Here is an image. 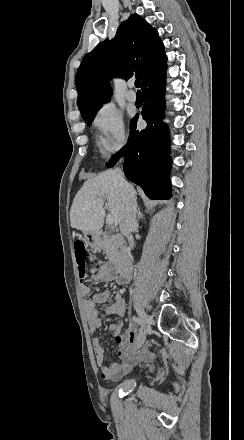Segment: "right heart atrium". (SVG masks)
<instances>
[{"instance_id": "right-heart-atrium-1", "label": "right heart atrium", "mask_w": 244, "mask_h": 440, "mask_svg": "<svg viewBox=\"0 0 244 440\" xmlns=\"http://www.w3.org/2000/svg\"><path fill=\"white\" fill-rule=\"evenodd\" d=\"M92 124L99 134V144L104 151L114 153L124 145L123 115L115 105H102L94 114Z\"/></svg>"}]
</instances>
